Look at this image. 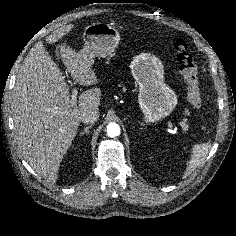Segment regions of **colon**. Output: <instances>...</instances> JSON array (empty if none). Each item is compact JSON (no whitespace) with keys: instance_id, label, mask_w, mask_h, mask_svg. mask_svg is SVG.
I'll use <instances>...</instances> for the list:
<instances>
[{"instance_id":"5ec220e1","label":"colon","mask_w":236,"mask_h":236,"mask_svg":"<svg viewBox=\"0 0 236 236\" xmlns=\"http://www.w3.org/2000/svg\"><path fill=\"white\" fill-rule=\"evenodd\" d=\"M174 46L178 56L180 73L187 88V99L193 107L199 108L202 105L203 98L199 86L198 67L194 57L184 40H177Z\"/></svg>"}]
</instances>
